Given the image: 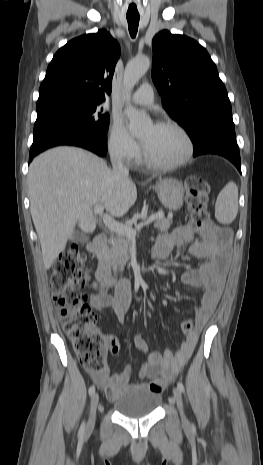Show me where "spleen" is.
Here are the masks:
<instances>
[{
	"mask_svg": "<svg viewBox=\"0 0 263 465\" xmlns=\"http://www.w3.org/2000/svg\"><path fill=\"white\" fill-rule=\"evenodd\" d=\"M238 212V188L229 182L219 193L215 204V217L222 224H230Z\"/></svg>",
	"mask_w": 263,
	"mask_h": 465,
	"instance_id": "obj_1",
	"label": "spleen"
}]
</instances>
